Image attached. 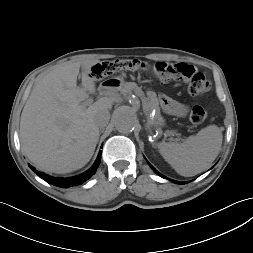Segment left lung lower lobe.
Wrapping results in <instances>:
<instances>
[{
	"label": "left lung lower lobe",
	"mask_w": 253,
	"mask_h": 253,
	"mask_svg": "<svg viewBox=\"0 0 253 253\" xmlns=\"http://www.w3.org/2000/svg\"><path fill=\"white\" fill-rule=\"evenodd\" d=\"M153 168V167H152ZM153 170L159 175V176H161L162 178H166L165 176H163L162 174H160L158 171H156L154 168H153ZM171 181H173L174 183H177V184H186V183H188L187 181L186 182H179V181H175V180H171Z\"/></svg>",
	"instance_id": "0a47b994"
}]
</instances>
